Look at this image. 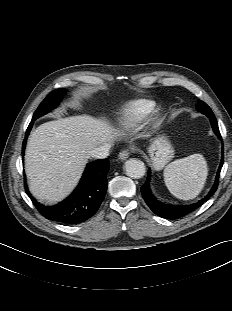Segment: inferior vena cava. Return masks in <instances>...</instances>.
Returning a JSON list of instances; mask_svg holds the SVG:
<instances>
[{"mask_svg":"<svg viewBox=\"0 0 232 311\" xmlns=\"http://www.w3.org/2000/svg\"><path fill=\"white\" fill-rule=\"evenodd\" d=\"M110 144L100 145L90 152V156L95 159H103L109 156Z\"/></svg>","mask_w":232,"mask_h":311,"instance_id":"inferior-vena-cava-1","label":"inferior vena cava"}]
</instances>
